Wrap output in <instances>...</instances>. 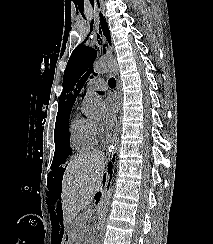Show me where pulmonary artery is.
I'll return each instance as SVG.
<instances>
[{
    "mask_svg": "<svg viewBox=\"0 0 213 244\" xmlns=\"http://www.w3.org/2000/svg\"><path fill=\"white\" fill-rule=\"evenodd\" d=\"M106 88V82L99 77L90 79L86 84V92L105 91Z\"/></svg>",
    "mask_w": 213,
    "mask_h": 244,
    "instance_id": "e3ab8cb5",
    "label": "pulmonary artery"
}]
</instances>
